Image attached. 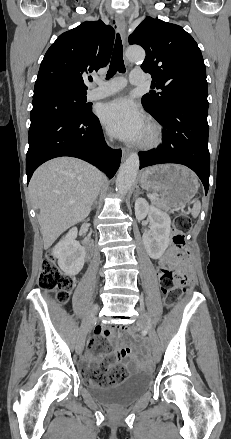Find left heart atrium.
I'll list each match as a JSON object with an SVG mask.
<instances>
[{
    "mask_svg": "<svg viewBox=\"0 0 231 439\" xmlns=\"http://www.w3.org/2000/svg\"><path fill=\"white\" fill-rule=\"evenodd\" d=\"M101 121L113 136L137 142L147 130V120L137 105L127 97L106 103L101 111Z\"/></svg>",
    "mask_w": 231,
    "mask_h": 439,
    "instance_id": "obj_1",
    "label": "left heart atrium"
}]
</instances>
